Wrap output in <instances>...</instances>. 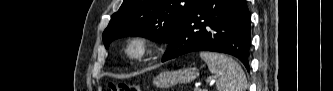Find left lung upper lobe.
Returning a JSON list of instances; mask_svg holds the SVG:
<instances>
[{
    "mask_svg": "<svg viewBox=\"0 0 333 91\" xmlns=\"http://www.w3.org/2000/svg\"><path fill=\"white\" fill-rule=\"evenodd\" d=\"M199 0H124L103 32L106 48L124 36L169 42Z\"/></svg>",
    "mask_w": 333,
    "mask_h": 91,
    "instance_id": "obj_1",
    "label": "left lung upper lobe"
}]
</instances>
